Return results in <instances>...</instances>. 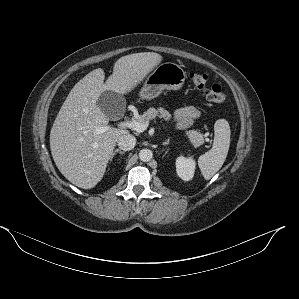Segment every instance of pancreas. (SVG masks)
<instances>
[{
	"label": "pancreas",
	"instance_id": "pancreas-1",
	"mask_svg": "<svg viewBox=\"0 0 299 299\" xmlns=\"http://www.w3.org/2000/svg\"><path fill=\"white\" fill-rule=\"evenodd\" d=\"M157 116L166 121H170V119L172 117L171 113L168 110H166L165 108L160 107L158 109H155L152 107V108H149L142 115H139L137 118H134L133 120L140 122V123L149 122V121L155 119ZM185 136L188 137L190 143L195 148L201 146L204 143V135L198 131H195V130L185 131Z\"/></svg>",
	"mask_w": 299,
	"mask_h": 299
}]
</instances>
